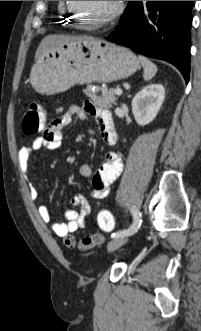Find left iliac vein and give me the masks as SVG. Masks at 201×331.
Listing matches in <instances>:
<instances>
[{
  "instance_id": "4c4485c4",
  "label": "left iliac vein",
  "mask_w": 201,
  "mask_h": 331,
  "mask_svg": "<svg viewBox=\"0 0 201 331\" xmlns=\"http://www.w3.org/2000/svg\"><path fill=\"white\" fill-rule=\"evenodd\" d=\"M127 240H128V236H120L117 238H113V240H111L107 245L108 251H114L120 248L127 242Z\"/></svg>"
}]
</instances>
